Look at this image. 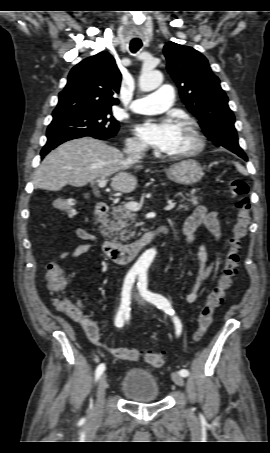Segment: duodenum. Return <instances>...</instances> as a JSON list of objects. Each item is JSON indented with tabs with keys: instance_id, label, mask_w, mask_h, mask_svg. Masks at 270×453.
Instances as JSON below:
<instances>
[{
	"instance_id": "1",
	"label": "duodenum",
	"mask_w": 270,
	"mask_h": 453,
	"mask_svg": "<svg viewBox=\"0 0 270 453\" xmlns=\"http://www.w3.org/2000/svg\"><path fill=\"white\" fill-rule=\"evenodd\" d=\"M108 211L109 206L107 204L99 203L95 211L96 218L99 221L104 220L107 217ZM157 236V231L150 232L129 244H120L111 240H105L102 244V250L111 261L120 264L127 263L133 260Z\"/></svg>"
}]
</instances>
